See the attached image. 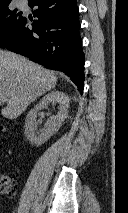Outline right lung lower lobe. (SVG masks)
Returning a JSON list of instances; mask_svg holds the SVG:
<instances>
[{"mask_svg":"<svg viewBox=\"0 0 128 213\" xmlns=\"http://www.w3.org/2000/svg\"><path fill=\"white\" fill-rule=\"evenodd\" d=\"M29 5L38 6L33 28L25 18L0 47L64 72L82 93L85 60L76 0H32Z\"/></svg>","mask_w":128,"mask_h":213,"instance_id":"right-lung-lower-lobe-1","label":"right lung lower lobe"}]
</instances>
